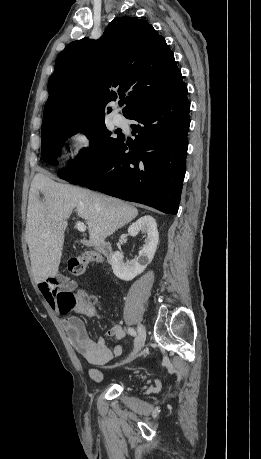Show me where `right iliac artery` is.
Wrapping results in <instances>:
<instances>
[{"label": "right iliac artery", "instance_id": "82829eb1", "mask_svg": "<svg viewBox=\"0 0 261 459\" xmlns=\"http://www.w3.org/2000/svg\"><path fill=\"white\" fill-rule=\"evenodd\" d=\"M128 333L132 336H136V331L133 328H128Z\"/></svg>", "mask_w": 261, "mask_h": 459}]
</instances>
